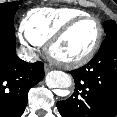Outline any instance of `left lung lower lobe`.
Returning <instances> with one entry per match:
<instances>
[{"instance_id": "0a47b994", "label": "left lung lower lobe", "mask_w": 117, "mask_h": 117, "mask_svg": "<svg viewBox=\"0 0 117 117\" xmlns=\"http://www.w3.org/2000/svg\"><path fill=\"white\" fill-rule=\"evenodd\" d=\"M75 91L58 101L62 117H114L117 114V31L107 35L85 66L70 71Z\"/></svg>"}]
</instances>
